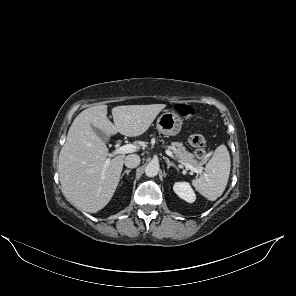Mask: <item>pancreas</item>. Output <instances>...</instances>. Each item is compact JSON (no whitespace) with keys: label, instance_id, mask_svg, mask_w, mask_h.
<instances>
[{"label":"pancreas","instance_id":"pancreas-1","mask_svg":"<svg viewBox=\"0 0 296 296\" xmlns=\"http://www.w3.org/2000/svg\"><path fill=\"white\" fill-rule=\"evenodd\" d=\"M175 154V156L184 163L190 164L195 168H201L202 163L194 159V155L186 150V148L178 142L172 143V146L169 147Z\"/></svg>","mask_w":296,"mask_h":296}]
</instances>
